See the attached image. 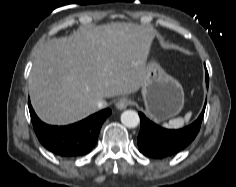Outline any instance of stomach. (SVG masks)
I'll return each mask as SVG.
<instances>
[{
	"instance_id": "stomach-1",
	"label": "stomach",
	"mask_w": 236,
	"mask_h": 187,
	"mask_svg": "<svg viewBox=\"0 0 236 187\" xmlns=\"http://www.w3.org/2000/svg\"><path fill=\"white\" fill-rule=\"evenodd\" d=\"M141 93L147 114L157 122L178 115L184 106L181 84L154 60H150L146 66Z\"/></svg>"
}]
</instances>
